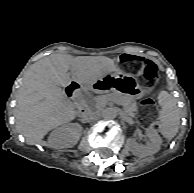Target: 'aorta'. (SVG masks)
Masks as SVG:
<instances>
[{"label":"aorta","mask_w":194,"mask_h":193,"mask_svg":"<svg viewBox=\"0 0 194 193\" xmlns=\"http://www.w3.org/2000/svg\"><path fill=\"white\" fill-rule=\"evenodd\" d=\"M118 115V111L114 108H107L103 111V117L106 119H113Z\"/></svg>","instance_id":"762f6f07"}]
</instances>
